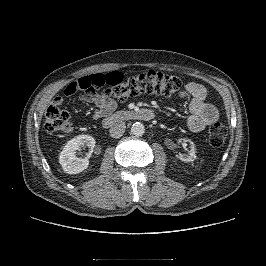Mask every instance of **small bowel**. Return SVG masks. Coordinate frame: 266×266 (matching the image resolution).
<instances>
[{
	"mask_svg": "<svg viewBox=\"0 0 266 266\" xmlns=\"http://www.w3.org/2000/svg\"><path fill=\"white\" fill-rule=\"evenodd\" d=\"M179 97L190 99L189 111L191 115L186 121L188 130L201 132L219 119L217 108L211 103L206 102L207 90L201 84L195 82L185 84L179 93ZM81 100L94 104L95 110L92 118L95 121L112 114L117 107L113 99L95 91L84 93ZM62 102V97H56L54 100L55 104H61Z\"/></svg>",
	"mask_w": 266,
	"mask_h": 266,
	"instance_id": "1",
	"label": "small bowel"
}]
</instances>
